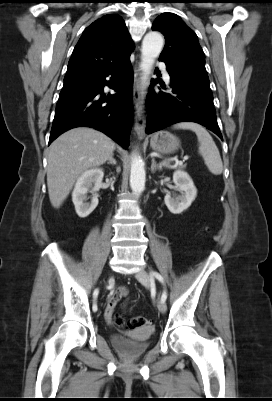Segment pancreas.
Segmentation results:
<instances>
[{
	"label": "pancreas",
	"mask_w": 272,
	"mask_h": 401,
	"mask_svg": "<svg viewBox=\"0 0 272 401\" xmlns=\"http://www.w3.org/2000/svg\"><path fill=\"white\" fill-rule=\"evenodd\" d=\"M166 167L169 168V169H176V168L183 169V168L186 167V165L179 164V165H176V166H174V167H172V166H170V165H166Z\"/></svg>",
	"instance_id": "obj_1"
}]
</instances>
